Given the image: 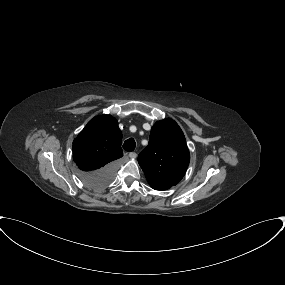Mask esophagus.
<instances>
[{
  "label": "esophagus",
  "mask_w": 285,
  "mask_h": 285,
  "mask_svg": "<svg viewBox=\"0 0 285 285\" xmlns=\"http://www.w3.org/2000/svg\"><path fill=\"white\" fill-rule=\"evenodd\" d=\"M129 157H130L131 159H135V158L137 157V154H136L135 152H131V153L129 154Z\"/></svg>",
  "instance_id": "1"
}]
</instances>
